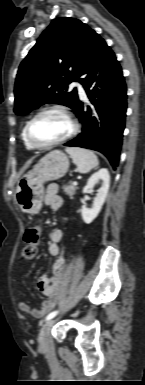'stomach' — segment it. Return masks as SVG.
Returning <instances> with one entry per match:
<instances>
[{
  "mask_svg": "<svg viewBox=\"0 0 145 385\" xmlns=\"http://www.w3.org/2000/svg\"><path fill=\"white\" fill-rule=\"evenodd\" d=\"M68 168L69 159L61 150H53L41 158L17 183L15 198L20 209L29 214L38 213L44 197L43 184L62 178Z\"/></svg>",
  "mask_w": 145,
  "mask_h": 385,
  "instance_id": "0dacf381",
  "label": "stomach"
}]
</instances>
